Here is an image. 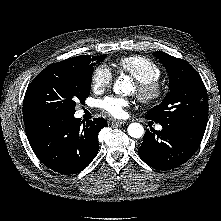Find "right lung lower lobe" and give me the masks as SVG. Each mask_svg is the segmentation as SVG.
I'll return each mask as SVG.
<instances>
[{"label": "right lung lower lobe", "instance_id": "right-lung-lower-lobe-1", "mask_svg": "<svg viewBox=\"0 0 221 221\" xmlns=\"http://www.w3.org/2000/svg\"><path fill=\"white\" fill-rule=\"evenodd\" d=\"M74 114H24L29 143L38 159L61 174H75L96 156L98 133L107 126L104 118L85 123Z\"/></svg>", "mask_w": 221, "mask_h": 221}]
</instances>
